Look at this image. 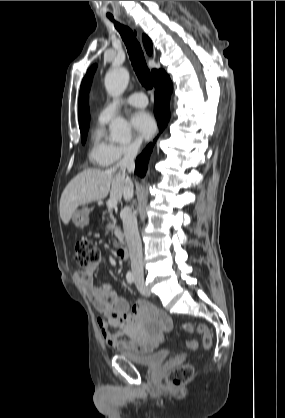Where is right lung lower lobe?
<instances>
[{"mask_svg": "<svg viewBox=\"0 0 285 418\" xmlns=\"http://www.w3.org/2000/svg\"><path fill=\"white\" fill-rule=\"evenodd\" d=\"M155 89V116L159 130L162 132L170 118L169 100L173 91V85L169 76L166 74L163 75L160 82L155 85ZM154 144L155 140L136 158L135 172L141 177L146 173L147 164Z\"/></svg>", "mask_w": 285, "mask_h": 418, "instance_id": "1", "label": "right lung lower lobe"}]
</instances>
